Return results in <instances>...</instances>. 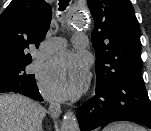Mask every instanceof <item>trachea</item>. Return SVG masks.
I'll list each match as a JSON object with an SVG mask.
<instances>
[{"label": "trachea", "instance_id": "3493384b", "mask_svg": "<svg viewBox=\"0 0 151 131\" xmlns=\"http://www.w3.org/2000/svg\"><path fill=\"white\" fill-rule=\"evenodd\" d=\"M70 0H59V10L63 11L69 5Z\"/></svg>", "mask_w": 151, "mask_h": 131}]
</instances>
